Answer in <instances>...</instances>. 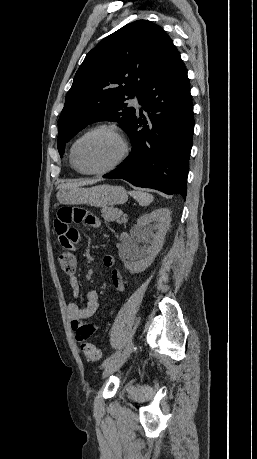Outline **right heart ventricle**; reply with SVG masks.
<instances>
[{"mask_svg": "<svg viewBox=\"0 0 257 459\" xmlns=\"http://www.w3.org/2000/svg\"><path fill=\"white\" fill-rule=\"evenodd\" d=\"M69 159H70V164H71L72 168L76 169V168L74 167L73 163H72V160H71V157H70V156H69Z\"/></svg>", "mask_w": 257, "mask_h": 459, "instance_id": "1", "label": "right heart ventricle"}]
</instances>
